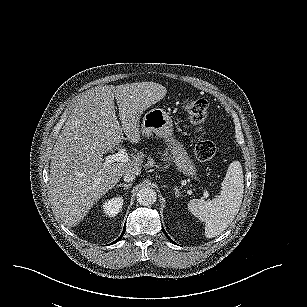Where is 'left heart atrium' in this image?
<instances>
[{
  "label": "left heart atrium",
  "mask_w": 307,
  "mask_h": 307,
  "mask_svg": "<svg viewBox=\"0 0 307 307\" xmlns=\"http://www.w3.org/2000/svg\"><path fill=\"white\" fill-rule=\"evenodd\" d=\"M141 160V155H132L128 162L124 164V175H131L138 171V163Z\"/></svg>",
  "instance_id": "39dd6f15"
}]
</instances>
